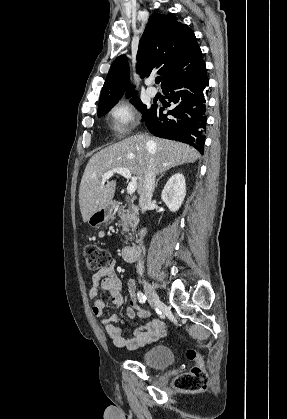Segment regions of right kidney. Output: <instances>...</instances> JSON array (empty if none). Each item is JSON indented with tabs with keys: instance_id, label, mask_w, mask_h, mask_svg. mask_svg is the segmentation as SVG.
<instances>
[{
	"instance_id": "1",
	"label": "right kidney",
	"mask_w": 287,
	"mask_h": 419,
	"mask_svg": "<svg viewBox=\"0 0 287 419\" xmlns=\"http://www.w3.org/2000/svg\"><path fill=\"white\" fill-rule=\"evenodd\" d=\"M186 195V184L183 174L177 173L170 177L164 186L161 198L171 212L181 207Z\"/></svg>"
}]
</instances>
